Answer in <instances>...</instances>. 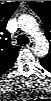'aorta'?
<instances>
[{
	"mask_svg": "<svg viewBox=\"0 0 51 101\" xmlns=\"http://www.w3.org/2000/svg\"><path fill=\"white\" fill-rule=\"evenodd\" d=\"M18 23L19 28L22 31L37 38L34 47L35 54L39 57L46 56L48 53L49 44L44 36H38L40 35V32L36 20L30 15H21Z\"/></svg>",
	"mask_w": 51,
	"mask_h": 101,
	"instance_id": "obj_1",
	"label": "aorta"
}]
</instances>
